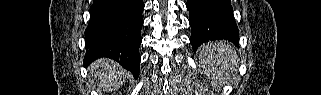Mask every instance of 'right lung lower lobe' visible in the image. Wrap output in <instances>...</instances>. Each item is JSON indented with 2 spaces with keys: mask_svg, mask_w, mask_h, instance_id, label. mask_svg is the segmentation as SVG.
<instances>
[{
  "mask_svg": "<svg viewBox=\"0 0 321 95\" xmlns=\"http://www.w3.org/2000/svg\"><path fill=\"white\" fill-rule=\"evenodd\" d=\"M143 9L142 0H94L85 30V64L108 57L137 78Z\"/></svg>",
  "mask_w": 321,
  "mask_h": 95,
  "instance_id": "1",
  "label": "right lung lower lobe"
}]
</instances>
